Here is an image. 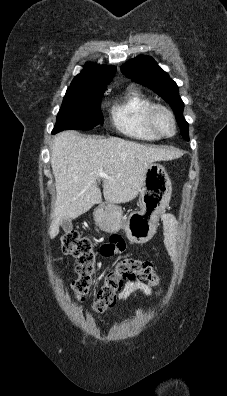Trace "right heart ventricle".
Segmentation results:
<instances>
[{
    "instance_id": "e07e8e85",
    "label": "right heart ventricle",
    "mask_w": 227,
    "mask_h": 396,
    "mask_svg": "<svg viewBox=\"0 0 227 396\" xmlns=\"http://www.w3.org/2000/svg\"><path fill=\"white\" fill-rule=\"evenodd\" d=\"M153 104L151 99L136 88H128L110 110L115 128L122 134L138 139L153 141L158 136L147 123V112Z\"/></svg>"
}]
</instances>
